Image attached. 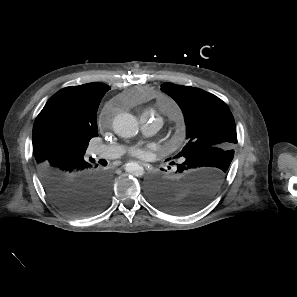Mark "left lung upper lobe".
Masks as SVG:
<instances>
[{"instance_id": "1", "label": "left lung upper lobe", "mask_w": 297, "mask_h": 297, "mask_svg": "<svg viewBox=\"0 0 297 297\" xmlns=\"http://www.w3.org/2000/svg\"><path fill=\"white\" fill-rule=\"evenodd\" d=\"M161 90L180 106L187 144L174 158L189 170H212L226 178L237 143L236 126L228 106L202 89L164 83Z\"/></svg>"}]
</instances>
